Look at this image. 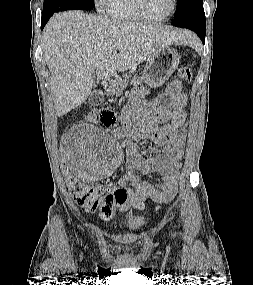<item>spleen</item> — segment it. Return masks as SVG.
I'll list each match as a JSON object with an SVG mask.
<instances>
[{
    "label": "spleen",
    "instance_id": "3e777b00",
    "mask_svg": "<svg viewBox=\"0 0 253 285\" xmlns=\"http://www.w3.org/2000/svg\"><path fill=\"white\" fill-rule=\"evenodd\" d=\"M189 43L195 44L194 39H193V38H190Z\"/></svg>",
    "mask_w": 253,
    "mask_h": 285
}]
</instances>
